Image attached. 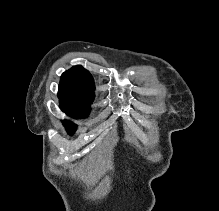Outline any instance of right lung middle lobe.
Returning <instances> with one entry per match:
<instances>
[{
  "instance_id": "1",
  "label": "right lung middle lobe",
  "mask_w": 219,
  "mask_h": 211,
  "mask_svg": "<svg viewBox=\"0 0 219 211\" xmlns=\"http://www.w3.org/2000/svg\"><path fill=\"white\" fill-rule=\"evenodd\" d=\"M61 109L69 116L74 118H86L88 116L89 110L88 105H82V104H72V103H64L60 102ZM63 124L66 128V130L73 134V132L76 129V125L69 122V121H63Z\"/></svg>"
}]
</instances>
